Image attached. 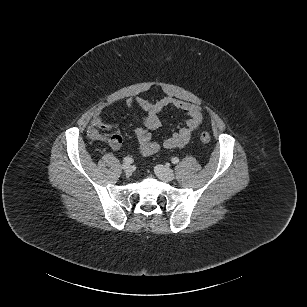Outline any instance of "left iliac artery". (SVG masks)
<instances>
[{
	"label": "left iliac artery",
	"instance_id": "left-iliac-artery-1",
	"mask_svg": "<svg viewBox=\"0 0 307 307\" xmlns=\"http://www.w3.org/2000/svg\"><path fill=\"white\" fill-rule=\"evenodd\" d=\"M172 163L177 164L179 162V159L177 157L172 158Z\"/></svg>",
	"mask_w": 307,
	"mask_h": 307
}]
</instances>
